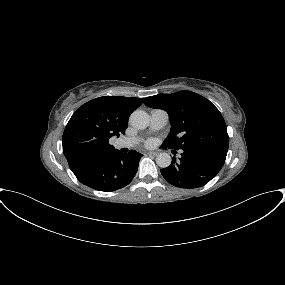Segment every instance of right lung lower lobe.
<instances>
[{
  "instance_id": "obj_1",
  "label": "right lung lower lobe",
  "mask_w": 285,
  "mask_h": 285,
  "mask_svg": "<svg viewBox=\"0 0 285 285\" xmlns=\"http://www.w3.org/2000/svg\"><path fill=\"white\" fill-rule=\"evenodd\" d=\"M142 154L113 150L89 159L72 169L77 179L93 189L110 192L128 185L134 178Z\"/></svg>"
}]
</instances>
